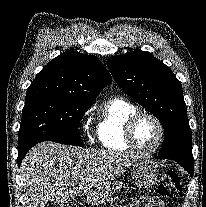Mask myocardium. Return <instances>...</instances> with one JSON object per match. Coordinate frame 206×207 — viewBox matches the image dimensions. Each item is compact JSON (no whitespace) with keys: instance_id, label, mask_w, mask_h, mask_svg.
<instances>
[{"instance_id":"1","label":"myocardium","mask_w":206,"mask_h":207,"mask_svg":"<svg viewBox=\"0 0 206 207\" xmlns=\"http://www.w3.org/2000/svg\"><path fill=\"white\" fill-rule=\"evenodd\" d=\"M147 117L150 118L155 122L159 129V139L157 144L150 150H143L139 148V146L135 142L134 137V128L137 124V122L143 118ZM165 127L162 123V121L153 113L147 112V111H136L125 123L124 125V140L127 146L132 150L134 153L141 155V156H150L155 154L163 145L165 141Z\"/></svg>"}]
</instances>
